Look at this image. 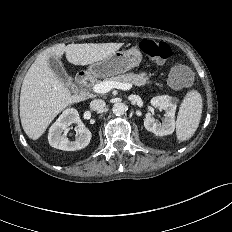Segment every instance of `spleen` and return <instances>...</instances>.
<instances>
[{
	"instance_id": "spleen-1",
	"label": "spleen",
	"mask_w": 232,
	"mask_h": 232,
	"mask_svg": "<svg viewBox=\"0 0 232 232\" xmlns=\"http://www.w3.org/2000/svg\"><path fill=\"white\" fill-rule=\"evenodd\" d=\"M202 114V98L197 91H190L181 103L176 133L179 141L188 140L199 126Z\"/></svg>"
}]
</instances>
